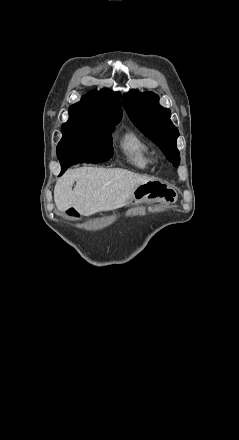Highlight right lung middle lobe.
I'll use <instances>...</instances> for the list:
<instances>
[{
	"label": "right lung middle lobe",
	"instance_id": "dd1d6c3e",
	"mask_svg": "<svg viewBox=\"0 0 239 440\" xmlns=\"http://www.w3.org/2000/svg\"><path fill=\"white\" fill-rule=\"evenodd\" d=\"M116 122L69 116L62 125L63 137L57 146V153L66 148L96 146L111 149V132Z\"/></svg>",
	"mask_w": 239,
	"mask_h": 440
}]
</instances>
